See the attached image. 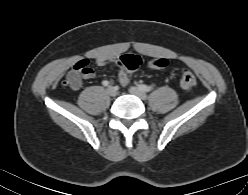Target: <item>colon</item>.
<instances>
[{
    "label": "colon",
    "mask_w": 248,
    "mask_h": 195,
    "mask_svg": "<svg viewBox=\"0 0 248 195\" xmlns=\"http://www.w3.org/2000/svg\"><path fill=\"white\" fill-rule=\"evenodd\" d=\"M121 66L127 71L131 72L137 69L143 59L134 54H125L119 58ZM169 64V61L165 58H152L148 61V65L152 68L163 69L166 68ZM86 66L88 63L86 61H80L75 64V66L69 71L64 85L71 89H77L81 85V80L83 74L86 71ZM197 84L196 77L194 73L189 69L182 70L180 77V85L185 91H191L195 88Z\"/></svg>",
    "instance_id": "5ec220e1"
}]
</instances>
